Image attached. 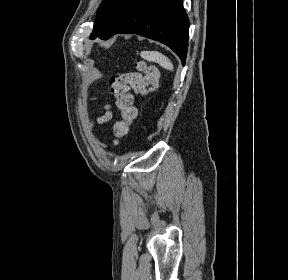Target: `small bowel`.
Segmentation results:
<instances>
[{
  "label": "small bowel",
  "mask_w": 288,
  "mask_h": 280,
  "mask_svg": "<svg viewBox=\"0 0 288 280\" xmlns=\"http://www.w3.org/2000/svg\"><path fill=\"white\" fill-rule=\"evenodd\" d=\"M112 118V112L110 110V106L106 105L104 107V113L96 120L97 124H104L108 121H110Z\"/></svg>",
  "instance_id": "c3829d8e"
}]
</instances>
